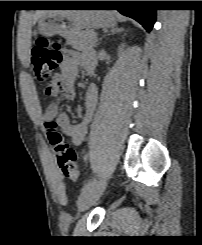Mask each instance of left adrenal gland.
<instances>
[{"mask_svg":"<svg viewBox=\"0 0 202 245\" xmlns=\"http://www.w3.org/2000/svg\"><path fill=\"white\" fill-rule=\"evenodd\" d=\"M123 31V28H113L107 35H115L120 34Z\"/></svg>","mask_w":202,"mask_h":245,"instance_id":"a2214340","label":"left adrenal gland"}]
</instances>
